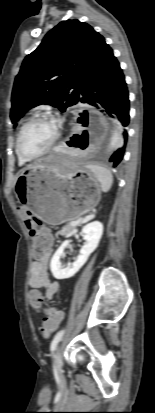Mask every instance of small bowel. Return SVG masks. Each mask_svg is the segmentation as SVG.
Here are the masks:
<instances>
[{
    "instance_id": "small-bowel-1",
    "label": "small bowel",
    "mask_w": 155,
    "mask_h": 413,
    "mask_svg": "<svg viewBox=\"0 0 155 413\" xmlns=\"http://www.w3.org/2000/svg\"><path fill=\"white\" fill-rule=\"evenodd\" d=\"M17 212L22 217V226L26 228V231H39V234L43 235L47 239V248H50L53 245V236L48 229H44V222H37L36 218H31L32 211L28 208L27 205H19L17 207ZM49 262V254H47L42 260L34 261L30 267V276H29V286L32 293H36L41 297L40 290L45 289L46 298L51 300L59 290V283L57 280L52 279L48 276L47 267ZM42 298V297H41ZM31 303V302H30ZM32 305V304H31ZM42 304L39 306L32 307L36 311L41 310Z\"/></svg>"
}]
</instances>
